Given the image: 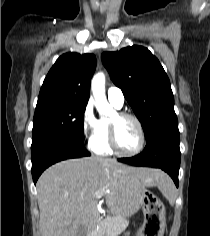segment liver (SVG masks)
<instances>
[{
    "label": "liver",
    "mask_w": 210,
    "mask_h": 236,
    "mask_svg": "<svg viewBox=\"0 0 210 236\" xmlns=\"http://www.w3.org/2000/svg\"><path fill=\"white\" fill-rule=\"evenodd\" d=\"M170 178L161 170L136 168L113 159L85 157L49 167L37 182L42 236H77L78 228L96 226L104 197L114 214L131 216L146 187L166 194Z\"/></svg>",
    "instance_id": "6515ba94"
}]
</instances>
